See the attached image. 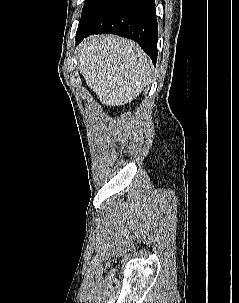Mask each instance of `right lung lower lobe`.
Wrapping results in <instances>:
<instances>
[{
	"label": "right lung lower lobe",
	"mask_w": 239,
	"mask_h": 303,
	"mask_svg": "<svg viewBox=\"0 0 239 303\" xmlns=\"http://www.w3.org/2000/svg\"><path fill=\"white\" fill-rule=\"evenodd\" d=\"M112 33L136 41L156 64L158 24L154 0H107L76 33V45L92 34Z\"/></svg>",
	"instance_id": "obj_1"
}]
</instances>
